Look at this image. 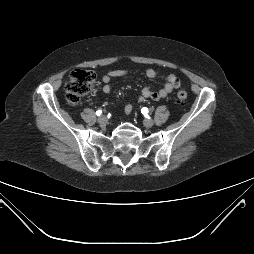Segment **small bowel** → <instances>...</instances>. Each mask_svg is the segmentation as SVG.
<instances>
[{"mask_svg":"<svg viewBox=\"0 0 254 254\" xmlns=\"http://www.w3.org/2000/svg\"><path fill=\"white\" fill-rule=\"evenodd\" d=\"M128 73L125 69H115L109 71L102 77V91L106 94L110 93L111 91V81L114 78L124 77ZM145 74L148 78H155L157 76V72L155 69L149 68L145 71ZM181 84V80L177 75L170 74L167 76L166 83L164 86L154 91L150 87L145 86L142 88L140 95L138 96L137 100L139 102H143L146 99H152L154 101H159L163 98H166L169 94H171L175 89L179 88ZM124 111L126 114H129L132 111V104H126Z\"/></svg>","mask_w":254,"mask_h":254,"instance_id":"obj_1","label":"small bowel"}]
</instances>
